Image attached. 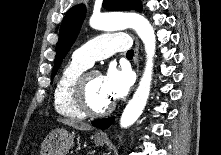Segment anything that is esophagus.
Masks as SVG:
<instances>
[{
	"label": "esophagus",
	"mask_w": 221,
	"mask_h": 155,
	"mask_svg": "<svg viewBox=\"0 0 221 155\" xmlns=\"http://www.w3.org/2000/svg\"><path fill=\"white\" fill-rule=\"evenodd\" d=\"M134 62L136 64V71L137 75H139V42L138 39L135 38V56H134ZM99 136L106 138L107 133L106 132H99Z\"/></svg>",
	"instance_id": "esophagus-1"
}]
</instances>
